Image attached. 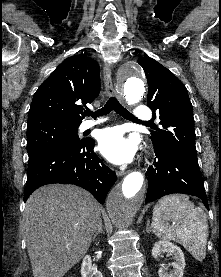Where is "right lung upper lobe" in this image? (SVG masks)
Masks as SVG:
<instances>
[{
	"label": "right lung upper lobe",
	"mask_w": 221,
	"mask_h": 277,
	"mask_svg": "<svg viewBox=\"0 0 221 277\" xmlns=\"http://www.w3.org/2000/svg\"><path fill=\"white\" fill-rule=\"evenodd\" d=\"M100 92L98 63L83 55L65 59L36 91L28 125L60 122L80 125L82 105L91 104Z\"/></svg>",
	"instance_id": "obj_1"
}]
</instances>
